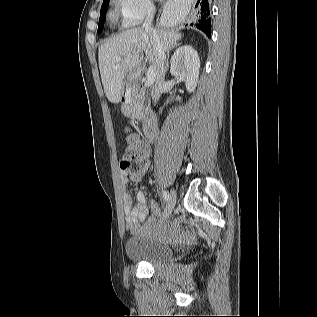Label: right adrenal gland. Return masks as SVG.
Returning a JSON list of instances; mask_svg holds the SVG:
<instances>
[{
	"label": "right adrenal gland",
	"instance_id": "right-adrenal-gland-1",
	"mask_svg": "<svg viewBox=\"0 0 317 317\" xmlns=\"http://www.w3.org/2000/svg\"><path fill=\"white\" fill-rule=\"evenodd\" d=\"M180 45V43H176L175 45H173L167 52V61H166V69L165 71L167 72L168 71V68H169V64H168V59H169V53H170V50L178 47Z\"/></svg>",
	"mask_w": 317,
	"mask_h": 317
}]
</instances>
